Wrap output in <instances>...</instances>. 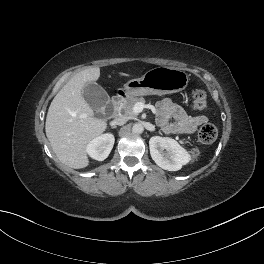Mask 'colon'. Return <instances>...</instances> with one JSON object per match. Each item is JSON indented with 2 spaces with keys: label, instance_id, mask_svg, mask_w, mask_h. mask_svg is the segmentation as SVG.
Segmentation results:
<instances>
[{
  "label": "colon",
  "instance_id": "colon-1",
  "mask_svg": "<svg viewBox=\"0 0 264 264\" xmlns=\"http://www.w3.org/2000/svg\"><path fill=\"white\" fill-rule=\"evenodd\" d=\"M190 108L193 112H204L208 108L207 96L204 91L196 90L193 92ZM217 129L212 124H204L198 131V139L201 143L209 144L216 140L217 138ZM195 155V152L193 153Z\"/></svg>",
  "mask_w": 264,
  "mask_h": 264
}]
</instances>
